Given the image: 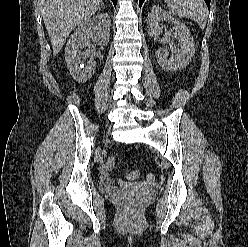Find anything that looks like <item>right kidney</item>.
Listing matches in <instances>:
<instances>
[{"label": "right kidney", "mask_w": 248, "mask_h": 247, "mask_svg": "<svg viewBox=\"0 0 248 247\" xmlns=\"http://www.w3.org/2000/svg\"><path fill=\"white\" fill-rule=\"evenodd\" d=\"M111 20L107 13H99L87 18L71 35L65 48V60L72 77L79 83H85L92 77L96 69V61L90 59L87 66L78 52L89 44V39L98 45H107L110 38Z\"/></svg>", "instance_id": "obj_1"}]
</instances>
